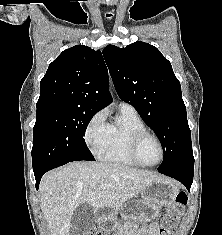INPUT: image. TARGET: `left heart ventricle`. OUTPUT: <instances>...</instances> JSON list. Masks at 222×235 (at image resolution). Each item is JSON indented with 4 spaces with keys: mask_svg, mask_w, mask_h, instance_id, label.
I'll return each instance as SVG.
<instances>
[{
    "mask_svg": "<svg viewBox=\"0 0 222 235\" xmlns=\"http://www.w3.org/2000/svg\"><path fill=\"white\" fill-rule=\"evenodd\" d=\"M139 157L147 164L157 162L160 158V148L157 142L152 138L146 139L139 148Z\"/></svg>",
    "mask_w": 222,
    "mask_h": 235,
    "instance_id": "left-heart-ventricle-1",
    "label": "left heart ventricle"
}]
</instances>
